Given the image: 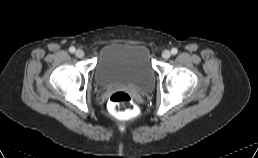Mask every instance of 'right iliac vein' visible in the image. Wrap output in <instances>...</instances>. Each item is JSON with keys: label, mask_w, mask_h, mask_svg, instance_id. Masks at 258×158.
<instances>
[{"label": "right iliac vein", "mask_w": 258, "mask_h": 158, "mask_svg": "<svg viewBox=\"0 0 258 158\" xmlns=\"http://www.w3.org/2000/svg\"><path fill=\"white\" fill-rule=\"evenodd\" d=\"M76 57L82 58L84 56V51L82 49H78L75 53Z\"/></svg>", "instance_id": "63e3f726"}]
</instances>
